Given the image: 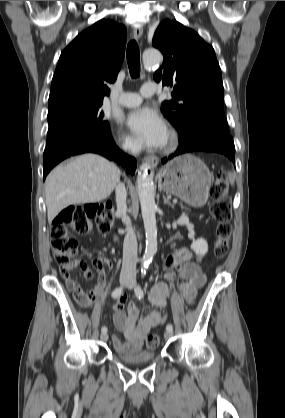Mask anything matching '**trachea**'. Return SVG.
Instances as JSON below:
<instances>
[{
	"label": "trachea",
	"instance_id": "obj_1",
	"mask_svg": "<svg viewBox=\"0 0 285 418\" xmlns=\"http://www.w3.org/2000/svg\"><path fill=\"white\" fill-rule=\"evenodd\" d=\"M127 63L131 77L137 78L140 75V53L138 44L135 40L128 43Z\"/></svg>",
	"mask_w": 285,
	"mask_h": 418
}]
</instances>
